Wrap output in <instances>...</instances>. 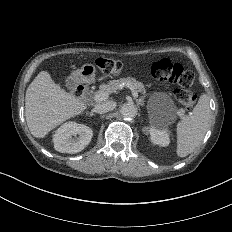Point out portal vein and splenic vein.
Listing matches in <instances>:
<instances>
[{
  "instance_id": "1",
  "label": "portal vein and splenic vein",
  "mask_w": 232,
  "mask_h": 232,
  "mask_svg": "<svg viewBox=\"0 0 232 232\" xmlns=\"http://www.w3.org/2000/svg\"><path fill=\"white\" fill-rule=\"evenodd\" d=\"M130 89H131V91H132L133 97H137V96H138L137 92L134 91L132 88H130ZM108 97H109V94H108V93H106V92H101V93L95 94L94 100H95V101H103V100H106Z\"/></svg>"
}]
</instances>
